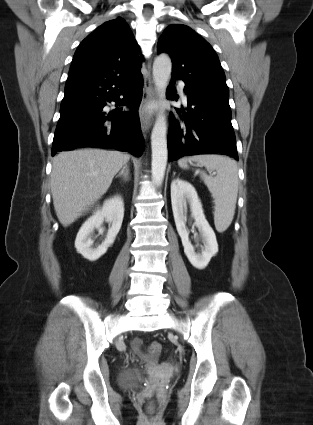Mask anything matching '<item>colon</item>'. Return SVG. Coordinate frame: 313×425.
Instances as JSON below:
<instances>
[{
    "label": "colon",
    "mask_w": 313,
    "mask_h": 425,
    "mask_svg": "<svg viewBox=\"0 0 313 425\" xmlns=\"http://www.w3.org/2000/svg\"><path fill=\"white\" fill-rule=\"evenodd\" d=\"M161 349H162V346H161V344L159 342H152L147 347V351L149 353H152V354L159 353L161 351ZM154 409H155L154 403L153 402H149L147 404V410H148V412L152 413V412H154Z\"/></svg>",
    "instance_id": "5ec220e1"
}]
</instances>
